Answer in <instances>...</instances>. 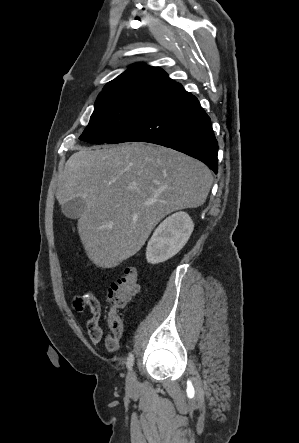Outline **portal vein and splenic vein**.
Returning <instances> with one entry per match:
<instances>
[{
	"mask_svg": "<svg viewBox=\"0 0 299 443\" xmlns=\"http://www.w3.org/2000/svg\"><path fill=\"white\" fill-rule=\"evenodd\" d=\"M151 204H153V202H147V203H146V205H151Z\"/></svg>",
	"mask_w": 299,
	"mask_h": 443,
	"instance_id": "18ae733b",
	"label": "portal vein and splenic vein"
}]
</instances>
